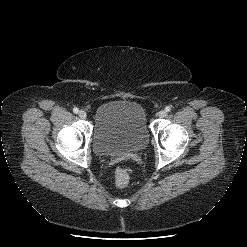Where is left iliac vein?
<instances>
[{
	"mask_svg": "<svg viewBox=\"0 0 247 247\" xmlns=\"http://www.w3.org/2000/svg\"><path fill=\"white\" fill-rule=\"evenodd\" d=\"M166 115H167V112L165 110H161L158 112V116L160 118H164V117H166Z\"/></svg>",
	"mask_w": 247,
	"mask_h": 247,
	"instance_id": "left-iliac-vein-1",
	"label": "left iliac vein"
}]
</instances>
